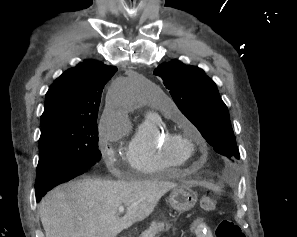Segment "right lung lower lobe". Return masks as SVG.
I'll return each instance as SVG.
<instances>
[{
  "instance_id": "1",
  "label": "right lung lower lobe",
  "mask_w": 297,
  "mask_h": 237,
  "mask_svg": "<svg viewBox=\"0 0 297 237\" xmlns=\"http://www.w3.org/2000/svg\"><path fill=\"white\" fill-rule=\"evenodd\" d=\"M80 174H76V173H72V174H68V175H64V176H60L56 179V183L54 184V186L44 189V190H39L38 188H36V200L39 201L49 190H51L53 187L68 182L74 178H76L77 176H79Z\"/></svg>"
}]
</instances>
